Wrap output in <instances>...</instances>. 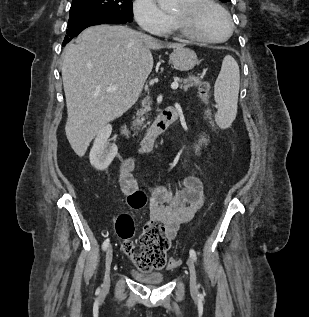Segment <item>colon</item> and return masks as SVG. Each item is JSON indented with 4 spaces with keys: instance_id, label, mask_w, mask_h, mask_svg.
<instances>
[{
    "instance_id": "colon-1",
    "label": "colon",
    "mask_w": 309,
    "mask_h": 317,
    "mask_svg": "<svg viewBox=\"0 0 309 317\" xmlns=\"http://www.w3.org/2000/svg\"><path fill=\"white\" fill-rule=\"evenodd\" d=\"M210 85L201 83L199 96L206 106V115L210 117L208 108ZM147 197L141 190L130 194L127 203L130 208L139 210L146 204ZM115 231L122 240V246L130 260L141 271L160 270L166 266L173 267L178 264L177 259L167 260L166 253L170 247V240L166 233L164 224L159 220L148 221L139 237L138 244L132 242L135 226L132 218L127 214L120 215L115 223Z\"/></svg>"
}]
</instances>
